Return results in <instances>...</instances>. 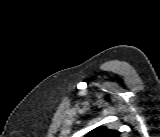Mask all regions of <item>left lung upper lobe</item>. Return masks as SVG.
I'll list each match as a JSON object with an SVG mask.
<instances>
[{
    "instance_id": "1",
    "label": "left lung upper lobe",
    "mask_w": 160,
    "mask_h": 137,
    "mask_svg": "<svg viewBox=\"0 0 160 137\" xmlns=\"http://www.w3.org/2000/svg\"><path fill=\"white\" fill-rule=\"evenodd\" d=\"M86 137H119V132L105 127H98L89 132Z\"/></svg>"
}]
</instances>
